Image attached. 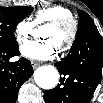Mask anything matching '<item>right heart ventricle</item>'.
<instances>
[{
    "instance_id": "obj_1",
    "label": "right heart ventricle",
    "mask_w": 103,
    "mask_h": 103,
    "mask_svg": "<svg viewBox=\"0 0 103 103\" xmlns=\"http://www.w3.org/2000/svg\"><path fill=\"white\" fill-rule=\"evenodd\" d=\"M65 17H72L71 11L63 6L53 5L48 8L39 10L35 14L33 24L41 25Z\"/></svg>"
}]
</instances>
